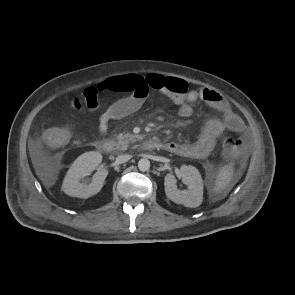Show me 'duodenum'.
Instances as JSON below:
<instances>
[{
    "label": "duodenum",
    "mask_w": 295,
    "mask_h": 295,
    "mask_svg": "<svg viewBox=\"0 0 295 295\" xmlns=\"http://www.w3.org/2000/svg\"><path fill=\"white\" fill-rule=\"evenodd\" d=\"M95 145L100 152L105 154H109L114 151V143L108 140H99ZM143 147L147 150L161 149L163 148V143L155 139H147L143 142Z\"/></svg>",
    "instance_id": "obj_1"
}]
</instances>
